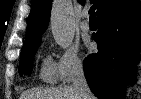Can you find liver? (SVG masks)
Segmentation results:
<instances>
[{
  "label": "liver",
  "instance_id": "liver-1",
  "mask_svg": "<svg viewBox=\"0 0 141 99\" xmlns=\"http://www.w3.org/2000/svg\"><path fill=\"white\" fill-rule=\"evenodd\" d=\"M19 99H80L73 86L33 88L24 91Z\"/></svg>",
  "mask_w": 141,
  "mask_h": 99
}]
</instances>
